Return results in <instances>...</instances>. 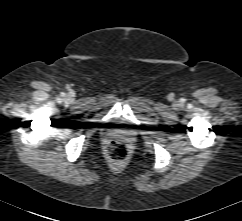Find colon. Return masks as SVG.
I'll list each match as a JSON object with an SVG mask.
<instances>
[{
	"instance_id": "1",
	"label": "colon",
	"mask_w": 242,
	"mask_h": 221,
	"mask_svg": "<svg viewBox=\"0 0 242 221\" xmlns=\"http://www.w3.org/2000/svg\"><path fill=\"white\" fill-rule=\"evenodd\" d=\"M109 157L114 161H123L129 155L128 146L125 142L111 141L107 147Z\"/></svg>"
}]
</instances>
